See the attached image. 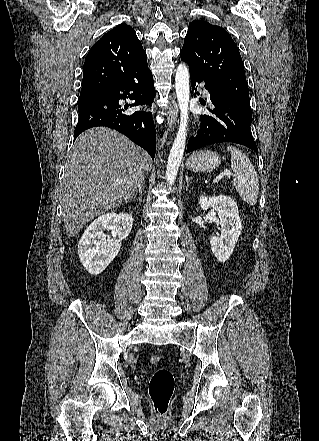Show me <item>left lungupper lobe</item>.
Instances as JSON below:
<instances>
[{
  "mask_svg": "<svg viewBox=\"0 0 319 441\" xmlns=\"http://www.w3.org/2000/svg\"><path fill=\"white\" fill-rule=\"evenodd\" d=\"M180 57L188 64L190 73L251 109L242 58L226 30L203 20L191 22Z\"/></svg>",
  "mask_w": 319,
  "mask_h": 441,
  "instance_id": "obj_1",
  "label": "left lung upper lobe"
}]
</instances>
